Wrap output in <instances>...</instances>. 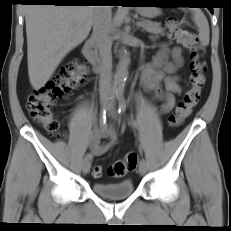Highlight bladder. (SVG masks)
I'll return each instance as SVG.
<instances>
[{"label": "bladder", "mask_w": 231, "mask_h": 231, "mask_svg": "<svg viewBox=\"0 0 231 231\" xmlns=\"http://www.w3.org/2000/svg\"><path fill=\"white\" fill-rule=\"evenodd\" d=\"M92 189L97 195L104 198L123 199L132 195L134 184L130 179L121 180L115 183L94 182Z\"/></svg>", "instance_id": "31cf9c89"}]
</instances>
